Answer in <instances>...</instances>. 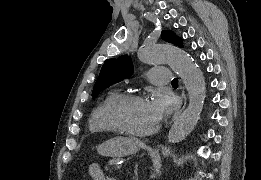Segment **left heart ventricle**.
Returning <instances> with one entry per match:
<instances>
[{"instance_id": "1", "label": "left heart ventricle", "mask_w": 261, "mask_h": 180, "mask_svg": "<svg viewBox=\"0 0 261 180\" xmlns=\"http://www.w3.org/2000/svg\"><path fill=\"white\" fill-rule=\"evenodd\" d=\"M115 119L124 134L140 137L149 133L157 124L159 116L144 98L132 101L127 106L115 110Z\"/></svg>"}]
</instances>
